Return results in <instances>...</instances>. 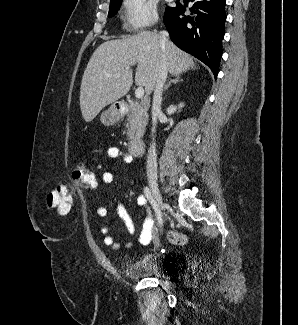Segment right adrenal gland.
I'll use <instances>...</instances> for the list:
<instances>
[{
  "mask_svg": "<svg viewBox=\"0 0 298 325\" xmlns=\"http://www.w3.org/2000/svg\"><path fill=\"white\" fill-rule=\"evenodd\" d=\"M179 80H180L179 74H173V78H170L168 84H165L164 90H167V88H169V86H170V84H172V82H179Z\"/></svg>",
  "mask_w": 298,
  "mask_h": 325,
  "instance_id": "1",
  "label": "right adrenal gland"
}]
</instances>
